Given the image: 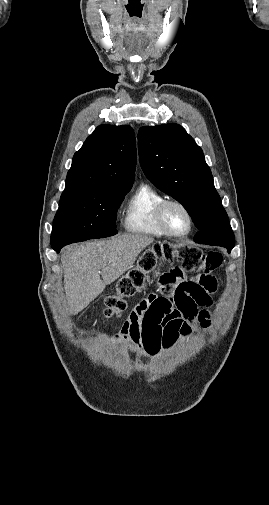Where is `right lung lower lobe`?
<instances>
[{
    "label": "right lung lower lobe",
    "mask_w": 269,
    "mask_h": 505,
    "mask_svg": "<svg viewBox=\"0 0 269 505\" xmlns=\"http://www.w3.org/2000/svg\"><path fill=\"white\" fill-rule=\"evenodd\" d=\"M63 246L62 245H59V246H52V248L56 251V252H59L60 249L62 248Z\"/></svg>",
    "instance_id": "98d812e1"
}]
</instances>
